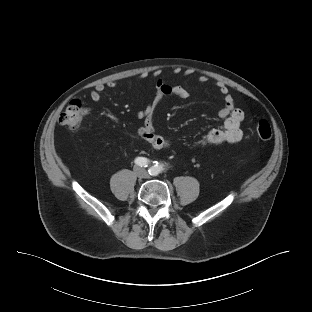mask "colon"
<instances>
[{
	"label": "colon",
	"instance_id": "5ec220e1",
	"mask_svg": "<svg viewBox=\"0 0 312 312\" xmlns=\"http://www.w3.org/2000/svg\"><path fill=\"white\" fill-rule=\"evenodd\" d=\"M86 112L87 108L81 101L73 100L60 115L59 124L68 129H77ZM256 133L262 140L271 139L272 129L270 123L265 119L258 120L256 122Z\"/></svg>",
	"mask_w": 312,
	"mask_h": 312
}]
</instances>
